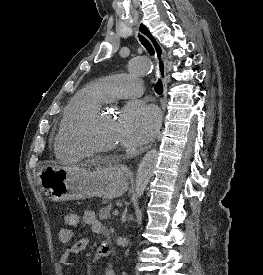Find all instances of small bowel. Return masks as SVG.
Returning <instances> with one entry per match:
<instances>
[{
    "label": "small bowel",
    "mask_w": 263,
    "mask_h": 275,
    "mask_svg": "<svg viewBox=\"0 0 263 275\" xmlns=\"http://www.w3.org/2000/svg\"><path fill=\"white\" fill-rule=\"evenodd\" d=\"M82 220L84 224L91 228L93 233L103 235L106 238L98 247L97 255L99 257L109 256L111 253V249L109 241L107 239L108 232L103 223L100 220H98L95 212L92 210L85 211ZM73 237L74 231L70 226L61 228L58 232L59 241L63 244H67V247L64 249L60 257L59 263L62 267H67L71 269L74 268V264L71 262V258L74 255L85 250L89 242L87 238H81L75 243L70 244ZM105 275H116L114 268L112 266H109L105 271Z\"/></svg>",
    "instance_id": "1"
}]
</instances>
